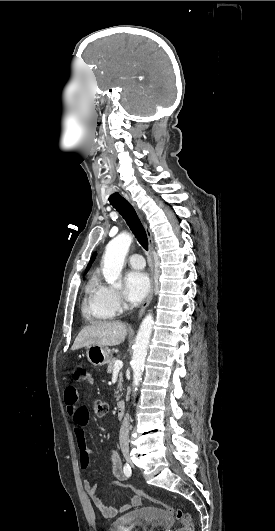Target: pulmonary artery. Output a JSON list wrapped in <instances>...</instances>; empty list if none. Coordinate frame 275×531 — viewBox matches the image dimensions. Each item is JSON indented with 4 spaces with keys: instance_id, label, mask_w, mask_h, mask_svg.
Returning a JSON list of instances; mask_svg holds the SVG:
<instances>
[{
    "instance_id": "e3ab8cb5",
    "label": "pulmonary artery",
    "mask_w": 275,
    "mask_h": 531,
    "mask_svg": "<svg viewBox=\"0 0 275 531\" xmlns=\"http://www.w3.org/2000/svg\"><path fill=\"white\" fill-rule=\"evenodd\" d=\"M126 261L133 268L141 269L145 266L144 258L138 254H133V256H129Z\"/></svg>"
}]
</instances>
